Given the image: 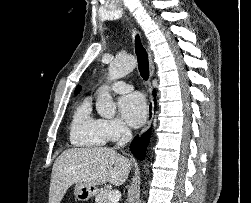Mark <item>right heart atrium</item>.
<instances>
[{"label":"right heart atrium","instance_id":"obj_1","mask_svg":"<svg viewBox=\"0 0 251 203\" xmlns=\"http://www.w3.org/2000/svg\"><path fill=\"white\" fill-rule=\"evenodd\" d=\"M100 127L106 141H115L128 133V128L120 119H101Z\"/></svg>","mask_w":251,"mask_h":203}]
</instances>
